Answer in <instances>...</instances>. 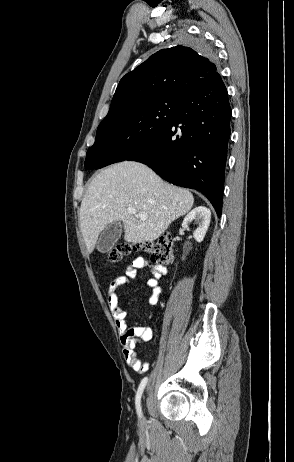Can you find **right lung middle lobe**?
I'll return each mask as SVG.
<instances>
[{"mask_svg":"<svg viewBox=\"0 0 294 462\" xmlns=\"http://www.w3.org/2000/svg\"><path fill=\"white\" fill-rule=\"evenodd\" d=\"M180 42L196 51L214 54L203 38L184 35ZM183 100L180 95H164L109 113L100 123L95 143L88 149L87 156L100 154L104 166L126 160L141 144L166 127Z\"/></svg>","mask_w":294,"mask_h":462,"instance_id":"dd1d6c3e","label":"right lung middle lobe"}]
</instances>
